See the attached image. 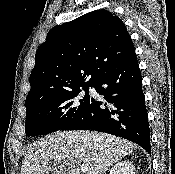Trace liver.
Here are the masks:
<instances>
[{
	"label": "liver",
	"mask_w": 175,
	"mask_h": 174,
	"mask_svg": "<svg viewBox=\"0 0 175 174\" xmlns=\"http://www.w3.org/2000/svg\"><path fill=\"white\" fill-rule=\"evenodd\" d=\"M137 145L96 131L55 132L35 143L24 157L20 174H76L77 163L87 167L86 174L106 171ZM54 160V166L48 164Z\"/></svg>",
	"instance_id": "6515ba94"
}]
</instances>
